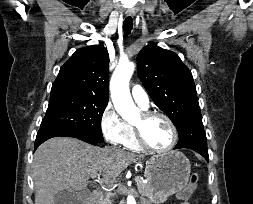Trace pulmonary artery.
Listing matches in <instances>:
<instances>
[{"label": "pulmonary artery", "mask_w": 253, "mask_h": 204, "mask_svg": "<svg viewBox=\"0 0 253 204\" xmlns=\"http://www.w3.org/2000/svg\"><path fill=\"white\" fill-rule=\"evenodd\" d=\"M133 100L144 110L149 107V96L147 92L139 85H134L131 88Z\"/></svg>", "instance_id": "e3ab8cb5"}]
</instances>
